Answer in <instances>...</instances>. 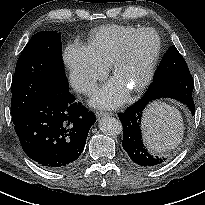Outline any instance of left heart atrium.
<instances>
[{
  "instance_id": "1",
  "label": "left heart atrium",
  "mask_w": 205,
  "mask_h": 205,
  "mask_svg": "<svg viewBox=\"0 0 205 205\" xmlns=\"http://www.w3.org/2000/svg\"><path fill=\"white\" fill-rule=\"evenodd\" d=\"M126 98V88L116 80L110 81L101 90L96 92L92 104L102 108H113Z\"/></svg>"
}]
</instances>
